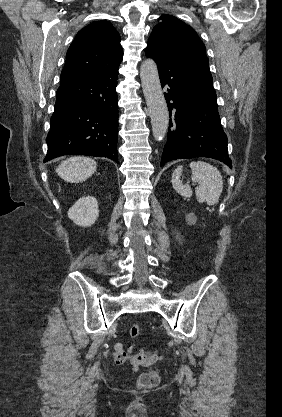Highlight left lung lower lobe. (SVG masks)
Segmentation results:
<instances>
[{"instance_id":"obj_1","label":"left lung lower lobe","mask_w":282,"mask_h":417,"mask_svg":"<svg viewBox=\"0 0 282 417\" xmlns=\"http://www.w3.org/2000/svg\"><path fill=\"white\" fill-rule=\"evenodd\" d=\"M145 54L158 66L171 118L160 165L176 159L209 157L231 168L208 63L170 60L150 48Z\"/></svg>"}]
</instances>
